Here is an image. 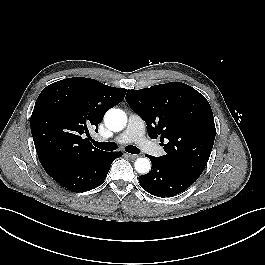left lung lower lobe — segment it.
I'll use <instances>...</instances> for the list:
<instances>
[{
  "instance_id": "0a47b994",
  "label": "left lung lower lobe",
  "mask_w": 265,
  "mask_h": 265,
  "mask_svg": "<svg viewBox=\"0 0 265 265\" xmlns=\"http://www.w3.org/2000/svg\"><path fill=\"white\" fill-rule=\"evenodd\" d=\"M151 171L139 177L143 189L157 197H172L185 191L197 178L165 165L158 157L148 155Z\"/></svg>"
}]
</instances>
